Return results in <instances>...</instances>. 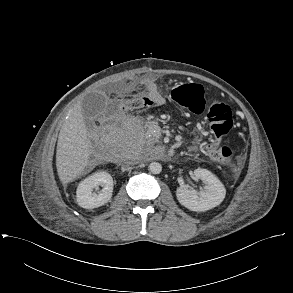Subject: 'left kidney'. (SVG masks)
<instances>
[{"label":"left kidney","mask_w":293,"mask_h":293,"mask_svg":"<svg viewBox=\"0 0 293 293\" xmlns=\"http://www.w3.org/2000/svg\"><path fill=\"white\" fill-rule=\"evenodd\" d=\"M193 175L203 181L204 189L197 193V191L183 186L177 188L176 196L179 203L196 212H204L218 206L226 195L221 181L207 169L197 168Z\"/></svg>","instance_id":"left-kidney-1"}]
</instances>
